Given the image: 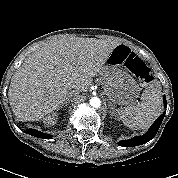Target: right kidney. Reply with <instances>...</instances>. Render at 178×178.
Masks as SVG:
<instances>
[{"instance_id":"right-kidney-1","label":"right kidney","mask_w":178,"mask_h":178,"mask_svg":"<svg viewBox=\"0 0 178 178\" xmlns=\"http://www.w3.org/2000/svg\"><path fill=\"white\" fill-rule=\"evenodd\" d=\"M58 115L56 113L49 114L43 118V122L45 125L50 126L54 125L57 122Z\"/></svg>"}]
</instances>
